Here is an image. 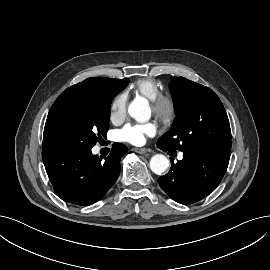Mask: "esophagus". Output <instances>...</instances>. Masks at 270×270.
Instances as JSON below:
<instances>
[{
	"mask_svg": "<svg viewBox=\"0 0 270 270\" xmlns=\"http://www.w3.org/2000/svg\"><path fill=\"white\" fill-rule=\"evenodd\" d=\"M134 151L139 154H147L151 152L148 148H134Z\"/></svg>",
	"mask_w": 270,
	"mask_h": 270,
	"instance_id": "1",
	"label": "esophagus"
}]
</instances>
